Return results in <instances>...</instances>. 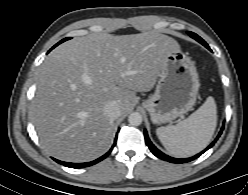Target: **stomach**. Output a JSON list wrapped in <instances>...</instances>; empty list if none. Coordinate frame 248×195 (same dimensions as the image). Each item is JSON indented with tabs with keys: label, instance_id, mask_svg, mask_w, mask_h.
<instances>
[{
	"label": "stomach",
	"instance_id": "stomach-1",
	"mask_svg": "<svg viewBox=\"0 0 248 195\" xmlns=\"http://www.w3.org/2000/svg\"><path fill=\"white\" fill-rule=\"evenodd\" d=\"M155 92L143 102L154 124L171 122L192 109L200 86L194 63L180 49L168 53Z\"/></svg>",
	"mask_w": 248,
	"mask_h": 195
}]
</instances>
